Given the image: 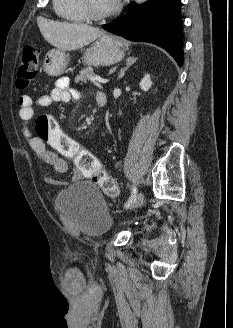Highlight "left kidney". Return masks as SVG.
<instances>
[{
	"mask_svg": "<svg viewBox=\"0 0 233 328\" xmlns=\"http://www.w3.org/2000/svg\"><path fill=\"white\" fill-rule=\"evenodd\" d=\"M140 88L143 91H148L152 86L151 77L149 74H146L139 83Z\"/></svg>",
	"mask_w": 233,
	"mask_h": 328,
	"instance_id": "5707ae66",
	"label": "left kidney"
}]
</instances>
